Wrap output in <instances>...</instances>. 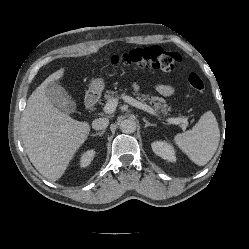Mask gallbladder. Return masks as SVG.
<instances>
[{
  "label": "gallbladder",
  "mask_w": 249,
  "mask_h": 249,
  "mask_svg": "<svg viewBox=\"0 0 249 249\" xmlns=\"http://www.w3.org/2000/svg\"><path fill=\"white\" fill-rule=\"evenodd\" d=\"M46 97L57 108L73 113L76 109V103L68 95V92L57 82H50L46 87Z\"/></svg>",
  "instance_id": "1"
}]
</instances>
